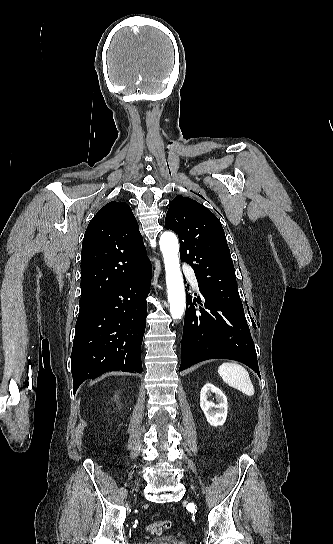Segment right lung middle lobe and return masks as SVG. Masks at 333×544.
Instances as JSON below:
<instances>
[{
    "label": "right lung middle lobe",
    "mask_w": 333,
    "mask_h": 544,
    "mask_svg": "<svg viewBox=\"0 0 333 544\" xmlns=\"http://www.w3.org/2000/svg\"><path fill=\"white\" fill-rule=\"evenodd\" d=\"M93 302H95V301H90V302H80V308L85 307V306H88V305L92 304Z\"/></svg>",
    "instance_id": "obj_1"
}]
</instances>
